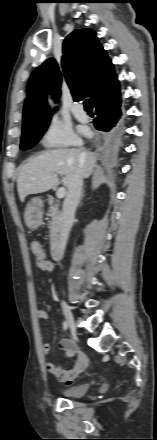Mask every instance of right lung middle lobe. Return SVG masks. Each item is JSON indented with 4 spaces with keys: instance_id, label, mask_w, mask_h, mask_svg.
Here are the masks:
<instances>
[{
    "instance_id": "1",
    "label": "right lung middle lobe",
    "mask_w": 157,
    "mask_h": 440,
    "mask_svg": "<svg viewBox=\"0 0 157 440\" xmlns=\"http://www.w3.org/2000/svg\"><path fill=\"white\" fill-rule=\"evenodd\" d=\"M48 124L49 121L23 126L20 149L27 150L33 147L46 131Z\"/></svg>"
}]
</instances>
